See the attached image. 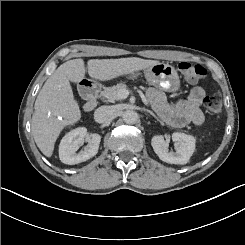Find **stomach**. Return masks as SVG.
<instances>
[{"label": "stomach", "mask_w": 245, "mask_h": 245, "mask_svg": "<svg viewBox=\"0 0 245 245\" xmlns=\"http://www.w3.org/2000/svg\"><path fill=\"white\" fill-rule=\"evenodd\" d=\"M139 73L137 71L129 75V79L137 78ZM146 80L154 87L166 91L176 92L180 88V80L176 69L167 63H158L144 69ZM97 85L96 81H93ZM91 87L85 84V81L79 83L78 89L87 90Z\"/></svg>", "instance_id": "1"}]
</instances>
